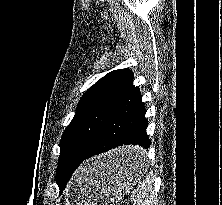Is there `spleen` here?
<instances>
[{
	"mask_svg": "<svg viewBox=\"0 0 222 205\" xmlns=\"http://www.w3.org/2000/svg\"><path fill=\"white\" fill-rule=\"evenodd\" d=\"M153 181V176L149 173L145 180L138 184L137 189L132 194L134 205H157L153 192Z\"/></svg>",
	"mask_w": 222,
	"mask_h": 205,
	"instance_id": "3e777b00",
	"label": "spleen"
}]
</instances>
